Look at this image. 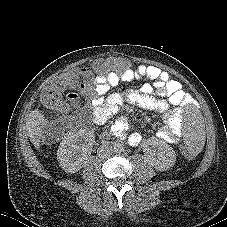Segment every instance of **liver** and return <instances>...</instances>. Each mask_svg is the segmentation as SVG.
<instances>
[{
	"label": "liver",
	"instance_id": "1",
	"mask_svg": "<svg viewBox=\"0 0 227 227\" xmlns=\"http://www.w3.org/2000/svg\"><path fill=\"white\" fill-rule=\"evenodd\" d=\"M48 123V120L42 115V113L38 110H32L28 116V120L26 123L27 134L30 138V141L35 146V148H39L40 146V138L42 135L43 128Z\"/></svg>",
	"mask_w": 227,
	"mask_h": 227
}]
</instances>
